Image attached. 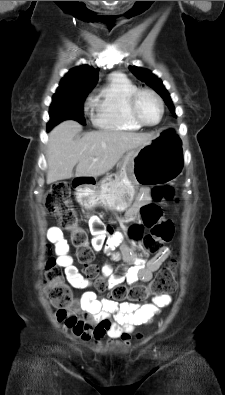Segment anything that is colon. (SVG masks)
Masks as SVG:
<instances>
[{
    "label": "colon",
    "instance_id": "5ec220e1",
    "mask_svg": "<svg viewBox=\"0 0 225 395\" xmlns=\"http://www.w3.org/2000/svg\"><path fill=\"white\" fill-rule=\"evenodd\" d=\"M154 203L141 208V224L130 228V236L138 240L143 235V226L150 232L142 238V249L146 253H156L164 243L172 240L174 227L170 220L161 216L160 204L177 201L170 186L154 187L151 191ZM45 207L53 215L61 229L69 234L71 246L75 251V258L84 267L86 278H96L98 268L94 264V253L89 243L86 230L80 225L78 215L71 201L70 188L64 182H57L49 189ZM176 260H172L166 268L161 269L148 284L126 285L118 283L112 287L101 279L96 280L99 290L110 289L111 298L116 302L129 301L141 303L152 295L168 294L176 290ZM81 279H83L81 277ZM45 293L50 303L57 311L66 310L73 299L71 281L68 274L56 266V258L50 252L45 263Z\"/></svg>",
    "mask_w": 225,
    "mask_h": 395
}]
</instances>
